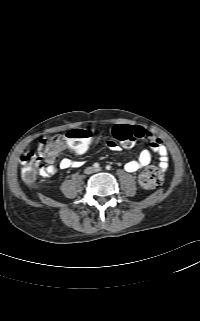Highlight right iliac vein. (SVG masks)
Returning <instances> with one entry per match:
<instances>
[{
    "mask_svg": "<svg viewBox=\"0 0 200 321\" xmlns=\"http://www.w3.org/2000/svg\"><path fill=\"white\" fill-rule=\"evenodd\" d=\"M94 172V169L92 168V167H88L87 169H86V173L87 174H91V173H93Z\"/></svg>",
    "mask_w": 200,
    "mask_h": 321,
    "instance_id": "63e3f726",
    "label": "right iliac vein"
}]
</instances>
